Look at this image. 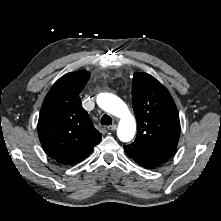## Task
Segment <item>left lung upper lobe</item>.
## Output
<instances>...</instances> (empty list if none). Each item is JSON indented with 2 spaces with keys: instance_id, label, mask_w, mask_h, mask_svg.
<instances>
[{
  "instance_id": "1",
  "label": "left lung upper lobe",
  "mask_w": 221,
  "mask_h": 221,
  "mask_svg": "<svg viewBox=\"0 0 221 221\" xmlns=\"http://www.w3.org/2000/svg\"><path fill=\"white\" fill-rule=\"evenodd\" d=\"M132 104L138 133L132 144L124 146L134 161L158 167L175 151L180 121L169 91L147 73H134Z\"/></svg>"
}]
</instances>
